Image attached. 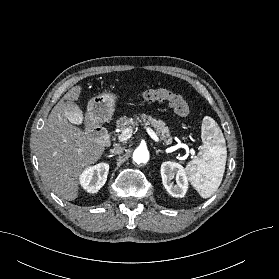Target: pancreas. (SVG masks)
Masks as SVG:
<instances>
[{
    "mask_svg": "<svg viewBox=\"0 0 279 279\" xmlns=\"http://www.w3.org/2000/svg\"><path fill=\"white\" fill-rule=\"evenodd\" d=\"M144 122L146 125H150L153 127L157 134L163 139L166 143H170L172 138L169 133V129H164V122L161 120H157L156 118L142 114L141 116L135 115L134 118H129L126 116L121 117L119 120L116 121V126L121 131L126 129H132L134 126L138 125V123Z\"/></svg>",
    "mask_w": 279,
    "mask_h": 279,
    "instance_id": "pancreas-1",
    "label": "pancreas"
}]
</instances>
